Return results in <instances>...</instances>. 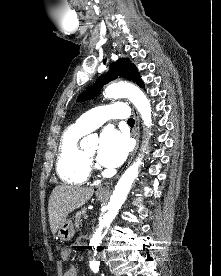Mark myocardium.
Returning a JSON list of instances; mask_svg holds the SVG:
<instances>
[{"label": "myocardium", "instance_id": "f54148a6", "mask_svg": "<svg viewBox=\"0 0 221 276\" xmlns=\"http://www.w3.org/2000/svg\"><path fill=\"white\" fill-rule=\"evenodd\" d=\"M85 155H86V158H87V160L89 161V163H90V164H93V162H94L93 156H90L89 154H86V153H85Z\"/></svg>", "mask_w": 221, "mask_h": 276}]
</instances>
